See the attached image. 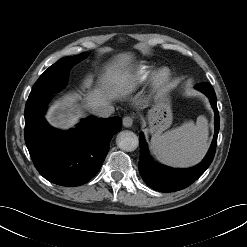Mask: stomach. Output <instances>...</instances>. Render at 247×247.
I'll list each match as a JSON object with an SVG mask.
<instances>
[{
    "label": "stomach",
    "mask_w": 247,
    "mask_h": 247,
    "mask_svg": "<svg viewBox=\"0 0 247 247\" xmlns=\"http://www.w3.org/2000/svg\"><path fill=\"white\" fill-rule=\"evenodd\" d=\"M171 96L167 91L155 95L154 104L147 114L150 133L162 132L172 123Z\"/></svg>",
    "instance_id": "0dacf381"
}]
</instances>
